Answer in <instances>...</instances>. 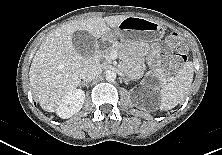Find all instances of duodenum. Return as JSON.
Masks as SVG:
<instances>
[{
    "label": "duodenum",
    "mask_w": 222,
    "mask_h": 155,
    "mask_svg": "<svg viewBox=\"0 0 222 155\" xmlns=\"http://www.w3.org/2000/svg\"><path fill=\"white\" fill-rule=\"evenodd\" d=\"M96 50H99V46H97V49ZM91 61L92 62H95L96 61V55H94L92 58H91Z\"/></svg>",
    "instance_id": "obj_1"
}]
</instances>
